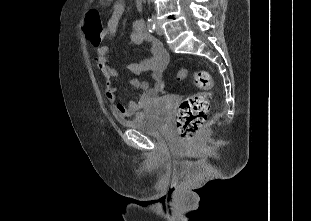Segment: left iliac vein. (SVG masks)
<instances>
[{"instance_id": "4c4485c4", "label": "left iliac vein", "mask_w": 311, "mask_h": 221, "mask_svg": "<svg viewBox=\"0 0 311 221\" xmlns=\"http://www.w3.org/2000/svg\"><path fill=\"white\" fill-rule=\"evenodd\" d=\"M156 24V32L159 36L163 35V29L161 28V26L159 25V23L157 21H155Z\"/></svg>"}]
</instances>
